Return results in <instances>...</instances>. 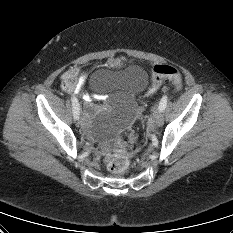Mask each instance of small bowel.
<instances>
[{"instance_id":"obj_1","label":"small bowel","mask_w":233,"mask_h":233,"mask_svg":"<svg viewBox=\"0 0 233 233\" xmlns=\"http://www.w3.org/2000/svg\"><path fill=\"white\" fill-rule=\"evenodd\" d=\"M84 81H85V75H83L81 77V79L79 81V84L75 88H73L75 92L79 91V89L83 85ZM83 99L87 102V107L86 108H87V112L89 113L91 111V108H92L91 107L92 98L88 94H84Z\"/></svg>"}]
</instances>
